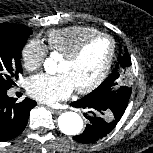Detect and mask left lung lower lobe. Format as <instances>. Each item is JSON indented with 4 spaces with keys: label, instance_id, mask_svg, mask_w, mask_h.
I'll return each instance as SVG.
<instances>
[{
    "label": "left lung lower lobe",
    "instance_id": "1",
    "mask_svg": "<svg viewBox=\"0 0 153 153\" xmlns=\"http://www.w3.org/2000/svg\"><path fill=\"white\" fill-rule=\"evenodd\" d=\"M71 106L82 107L89 110V114H85L88 119V124L84 132L80 135L74 136L73 139L80 143H92L95 142L108 133H110L116 126L117 122L109 119L106 116L105 109L106 104L96 101H89L85 99L72 102Z\"/></svg>",
    "mask_w": 153,
    "mask_h": 153
}]
</instances>
